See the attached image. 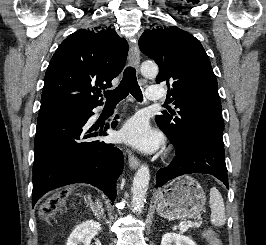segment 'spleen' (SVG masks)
Returning a JSON list of instances; mask_svg holds the SVG:
<instances>
[{
	"label": "spleen",
	"instance_id": "1",
	"mask_svg": "<svg viewBox=\"0 0 266 245\" xmlns=\"http://www.w3.org/2000/svg\"><path fill=\"white\" fill-rule=\"evenodd\" d=\"M210 209H211V225H215V227H222L226 223V215H225V207L224 201L221 197V193H219L216 187H212L210 189Z\"/></svg>",
	"mask_w": 266,
	"mask_h": 245
}]
</instances>
